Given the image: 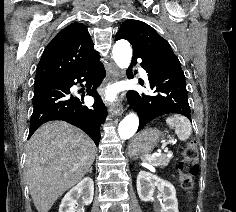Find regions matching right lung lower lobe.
I'll list each match as a JSON object with an SVG mask.
<instances>
[{
    "mask_svg": "<svg viewBox=\"0 0 236 212\" xmlns=\"http://www.w3.org/2000/svg\"><path fill=\"white\" fill-rule=\"evenodd\" d=\"M105 76L104 66L98 59L68 77L36 79L32 101L34 109L28 138L43 123L64 120L82 129L98 145L100 125L107 116V110L99 100L96 88ZM79 82H86L87 94L95 98L93 106L83 105V97L79 98L70 94V88Z\"/></svg>",
    "mask_w": 236,
    "mask_h": 212,
    "instance_id": "right-lung-lower-lobe-1",
    "label": "right lung lower lobe"
}]
</instances>
